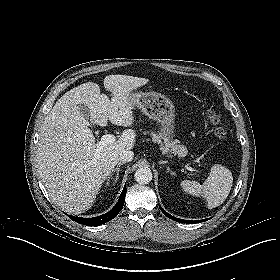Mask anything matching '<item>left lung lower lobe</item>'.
<instances>
[{
	"label": "left lung lower lobe",
	"mask_w": 280,
	"mask_h": 280,
	"mask_svg": "<svg viewBox=\"0 0 280 280\" xmlns=\"http://www.w3.org/2000/svg\"><path fill=\"white\" fill-rule=\"evenodd\" d=\"M161 211L164 213L165 216H167L168 218L174 220V221H177V222H180V223H199V222H203L205 221L206 219H203V220H197V221H188V220H183V219H179V218H176V217H173L172 215L168 214L164 209H162L160 207Z\"/></svg>",
	"instance_id": "0a47b994"
}]
</instances>
